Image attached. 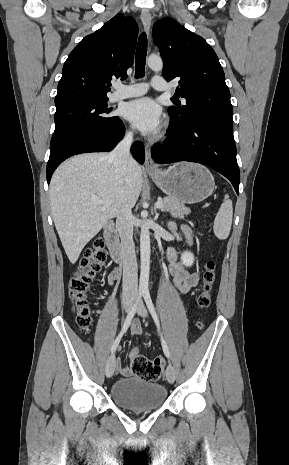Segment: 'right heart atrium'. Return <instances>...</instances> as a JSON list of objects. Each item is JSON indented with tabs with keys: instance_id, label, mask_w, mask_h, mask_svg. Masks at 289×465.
Returning a JSON list of instances; mask_svg holds the SVG:
<instances>
[{
	"instance_id": "obj_1",
	"label": "right heart atrium",
	"mask_w": 289,
	"mask_h": 465,
	"mask_svg": "<svg viewBox=\"0 0 289 465\" xmlns=\"http://www.w3.org/2000/svg\"><path fill=\"white\" fill-rule=\"evenodd\" d=\"M125 134H126V136H127L128 138H132V137H133V130H132V128H131V127H128V128L126 129Z\"/></svg>"
}]
</instances>
